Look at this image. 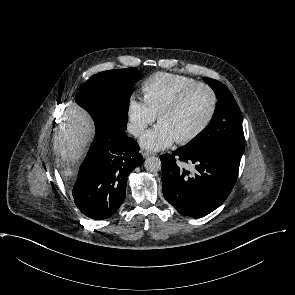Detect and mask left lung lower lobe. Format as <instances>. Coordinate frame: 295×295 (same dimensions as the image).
<instances>
[{"instance_id": "1", "label": "left lung lower lobe", "mask_w": 295, "mask_h": 295, "mask_svg": "<svg viewBox=\"0 0 295 295\" xmlns=\"http://www.w3.org/2000/svg\"><path fill=\"white\" fill-rule=\"evenodd\" d=\"M176 158L193 163L195 173L181 169ZM241 158L221 150L161 155L162 189L166 200L182 215L204 217L229 196L238 176Z\"/></svg>"}]
</instances>
